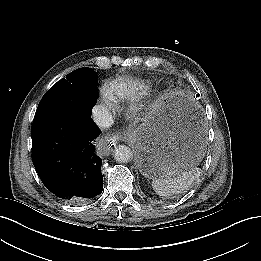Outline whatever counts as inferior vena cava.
Listing matches in <instances>:
<instances>
[{
	"instance_id": "602c4592",
	"label": "inferior vena cava",
	"mask_w": 261,
	"mask_h": 261,
	"mask_svg": "<svg viewBox=\"0 0 261 261\" xmlns=\"http://www.w3.org/2000/svg\"><path fill=\"white\" fill-rule=\"evenodd\" d=\"M92 117L94 122L100 128H109L114 123L112 113L107 109V107H95L92 112Z\"/></svg>"
}]
</instances>
